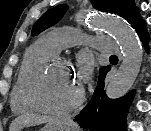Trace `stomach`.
Here are the masks:
<instances>
[{
  "instance_id": "1",
  "label": "stomach",
  "mask_w": 151,
  "mask_h": 131,
  "mask_svg": "<svg viewBox=\"0 0 151 131\" xmlns=\"http://www.w3.org/2000/svg\"><path fill=\"white\" fill-rule=\"evenodd\" d=\"M40 131H76V126L68 120L59 119L56 122L48 123Z\"/></svg>"
}]
</instances>
